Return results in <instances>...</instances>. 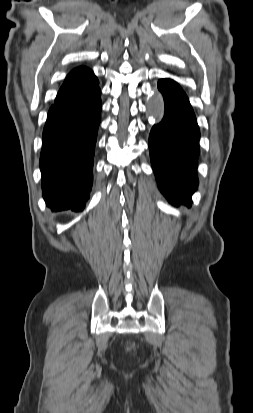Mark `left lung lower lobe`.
<instances>
[{
    "label": "left lung lower lobe",
    "mask_w": 253,
    "mask_h": 413,
    "mask_svg": "<svg viewBox=\"0 0 253 413\" xmlns=\"http://www.w3.org/2000/svg\"><path fill=\"white\" fill-rule=\"evenodd\" d=\"M164 117L149 136L152 168L158 187L169 203L189 204L197 189L200 131L194 111L182 88L171 79H160Z\"/></svg>",
    "instance_id": "obj_1"
}]
</instances>
